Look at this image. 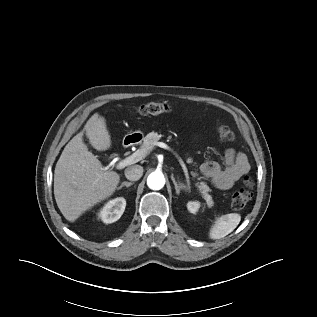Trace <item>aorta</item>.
<instances>
[{
    "instance_id": "762f6f07",
    "label": "aorta",
    "mask_w": 317,
    "mask_h": 317,
    "mask_svg": "<svg viewBox=\"0 0 317 317\" xmlns=\"http://www.w3.org/2000/svg\"><path fill=\"white\" fill-rule=\"evenodd\" d=\"M147 185L152 190H160L165 185V177L161 172H152L147 178Z\"/></svg>"
}]
</instances>
